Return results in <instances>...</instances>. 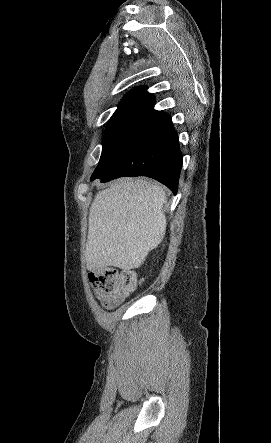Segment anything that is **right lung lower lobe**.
<instances>
[{
    "instance_id": "right-lung-lower-lobe-1",
    "label": "right lung lower lobe",
    "mask_w": 271,
    "mask_h": 443,
    "mask_svg": "<svg viewBox=\"0 0 271 443\" xmlns=\"http://www.w3.org/2000/svg\"><path fill=\"white\" fill-rule=\"evenodd\" d=\"M182 154L170 116L151 109L127 135L112 161L91 180L147 176L178 190Z\"/></svg>"
}]
</instances>
